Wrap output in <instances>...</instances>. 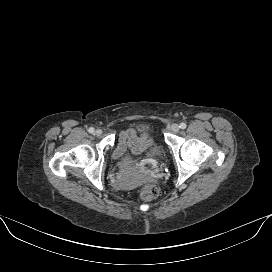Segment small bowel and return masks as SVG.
<instances>
[{
	"label": "small bowel",
	"mask_w": 272,
	"mask_h": 272,
	"mask_svg": "<svg viewBox=\"0 0 272 272\" xmlns=\"http://www.w3.org/2000/svg\"><path fill=\"white\" fill-rule=\"evenodd\" d=\"M150 145V139L146 134H138L133 129H128L120 134L116 150L122 152L130 149L132 153L139 154Z\"/></svg>",
	"instance_id": "1"
}]
</instances>
